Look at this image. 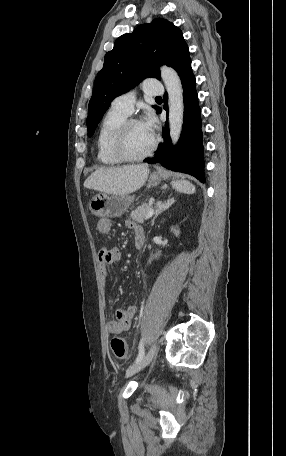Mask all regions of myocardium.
<instances>
[{
    "instance_id": "1",
    "label": "myocardium",
    "mask_w": 286,
    "mask_h": 456,
    "mask_svg": "<svg viewBox=\"0 0 286 456\" xmlns=\"http://www.w3.org/2000/svg\"><path fill=\"white\" fill-rule=\"evenodd\" d=\"M141 123L140 120L136 118H126L117 128L113 140H112V151L114 155L121 161V162H138L143 161L146 158L150 157L153 152L155 151L158 140L155 136H153V141L150 148L140 156H130L125 152L124 144L127 131L129 127L133 124Z\"/></svg>"
}]
</instances>
